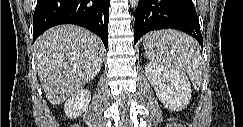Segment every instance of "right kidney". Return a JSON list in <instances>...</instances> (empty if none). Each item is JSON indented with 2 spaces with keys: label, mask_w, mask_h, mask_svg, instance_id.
<instances>
[{
  "label": "right kidney",
  "mask_w": 243,
  "mask_h": 127,
  "mask_svg": "<svg viewBox=\"0 0 243 127\" xmlns=\"http://www.w3.org/2000/svg\"><path fill=\"white\" fill-rule=\"evenodd\" d=\"M91 100L89 90L80 89L76 91L64 104V111L68 118L74 119L84 113Z\"/></svg>",
  "instance_id": "ca27d5eb"
}]
</instances>
